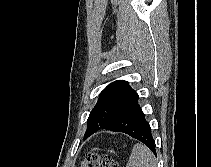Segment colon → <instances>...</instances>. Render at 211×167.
<instances>
[{"instance_id":"obj_1","label":"colon","mask_w":211,"mask_h":167,"mask_svg":"<svg viewBox=\"0 0 211 167\" xmlns=\"http://www.w3.org/2000/svg\"><path fill=\"white\" fill-rule=\"evenodd\" d=\"M79 167H117V165L108 156L89 153L82 160Z\"/></svg>"}]
</instances>
